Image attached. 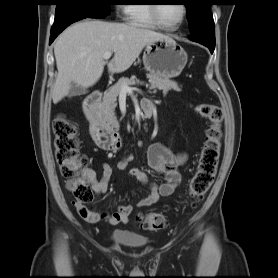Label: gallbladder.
<instances>
[{
  "instance_id": "gallbladder-1",
  "label": "gallbladder",
  "mask_w": 278,
  "mask_h": 278,
  "mask_svg": "<svg viewBox=\"0 0 278 278\" xmlns=\"http://www.w3.org/2000/svg\"><path fill=\"white\" fill-rule=\"evenodd\" d=\"M87 92H88V90L86 88L74 85L69 90L68 97L81 96V95L86 94Z\"/></svg>"
}]
</instances>
